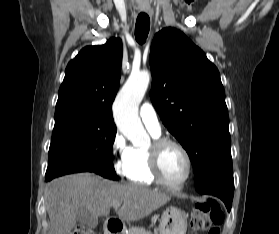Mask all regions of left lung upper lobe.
Masks as SVG:
<instances>
[{
    "label": "left lung upper lobe",
    "instance_id": "1",
    "mask_svg": "<svg viewBox=\"0 0 279 234\" xmlns=\"http://www.w3.org/2000/svg\"><path fill=\"white\" fill-rule=\"evenodd\" d=\"M149 60L150 97L190 157L196 190L233 181L228 109L216 66L171 27L155 34Z\"/></svg>",
    "mask_w": 279,
    "mask_h": 234
}]
</instances>
